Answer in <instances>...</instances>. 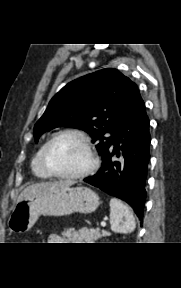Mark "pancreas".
Returning a JSON list of instances; mask_svg holds the SVG:
<instances>
[{
    "mask_svg": "<svg viewBox=\"0 0 181 288\" xmlns=\"http://www.w3.org/2000/svg\"><path fill=\"white\" fill-rule=\"evenodd\" d=\"M107 235V231L87 228H82L78 231L74 228H69L62 232V236L73 243H93L95 240Z\"/></svg>",
    "mask_w": 181,
    "mask_h": 288,
    "instance_id": "cf45deb5",
    "label": "pancreas"
}]
</instances>
